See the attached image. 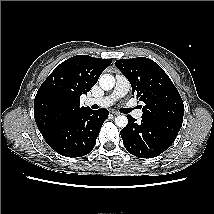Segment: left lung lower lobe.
Listing matches in <instances>:
<instances>
[{"mask_svg": "<svg viewBox=\"0 0 214 214\" xmlns=\"http://www.w3.org/2000/svg\"><path fill=\"white\" fill-rule=\"evenodd\" d=\"M128 117V124L120 131L127 151L140 158L160 155L175 141L180 125L142 118L141 123Z\"/></svg>", "mask_w": 214, "mask_h": 214, "instance_id": "0a47b994", "label": "left lung lower lobe"}]
</instances>
